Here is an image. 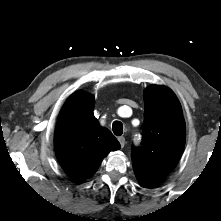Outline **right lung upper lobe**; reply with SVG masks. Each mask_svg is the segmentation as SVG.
Segmentation results:
<instances>
[{
	"mask_svg": "<svg viewBox=\"0 0 221 221\" xmlns=\"http://www.w3.org/2000/svg\"><path fill=\"white\" fill-rule=\"evenodd\" d=\"M93 107L92 95L73 93L61 109L56 126L57 159L65 172L78 180L93 176L103 158L121 147L113 134L99 125Z\"/></svg>",
	"mask_w": 221,
	"mask_h": 221,
	"instance_id": "cb5924a9",
	"label": "right lung upper lobe"
}]
</instances>
